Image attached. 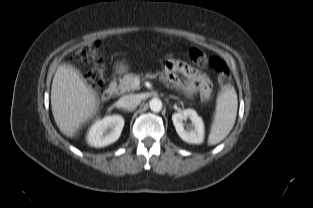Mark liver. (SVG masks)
Returning a JSON list of instances; mask_svg holds the SVG:
<instances>
[{
    "label": "liver",
    "mask_w": 313,
    "mask_h": 208,
    "mask_svg": "<svg viewBox=\"0 0 313 208\" xmlns=\"http://www.w3.org/2000/svg\"><path fill=\"white\" fill-rule=\"evenodd\" d=\"M54 120L67 137H73L80 126L98 111V100L81 73L70 64H60L51 87Z\"/></svg>",
    "instance_id": "obj_1"
}]
</instances>
